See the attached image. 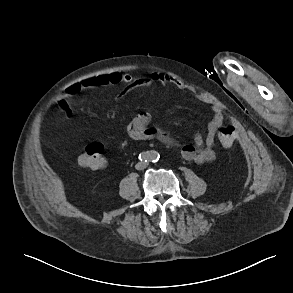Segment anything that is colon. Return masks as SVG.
I'll return each mask as SVG.
<instances>
[{
  "mask_svg": "<svg viewBox=\"0 0 293 293\" xmlns=\"http://www.w3.org/2000/svg\"><path fill=\"white\" fill-rule=\"evenodd\" d=\"M236 137L233 126H223L218 130V139L222 146L230 147ZM104 146L100 142L89 143L84 151L78 156L79 166L91 170H98L105 166L106 161L103 156Z\"/></svg>",
  "mask_w": 293,
  "mask_h": 293,
  "instance_id": "colon-1",
  "label": "colon"
}]
</instances>
